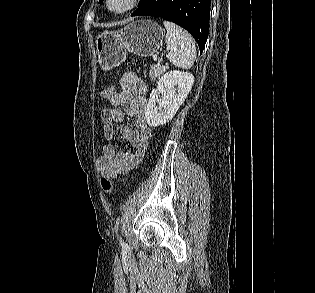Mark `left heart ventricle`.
I'll return each mask as SVG.
<instances>
[{"label":"left heart ventricle","instance_id":"b2bd125f","mask_svg":"<svg viewBox=\"0 0 315 293\" xmlns=\"http://www.w3.org/2000/svg\"><path fill=\"white\" fill-rule=\"evenodd\" d=\"M128 0H111L110 1V8L114 11H118L124 8L127 5Z\"/></svg>","mask_w":315,"mask_h":293}]
</instances>
